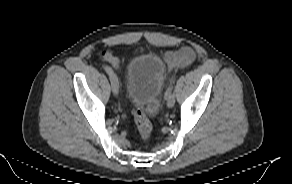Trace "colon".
<instances>
[{"label": "colon", "instance_id": "5ec220e1", "mask_svg": "<svg viewBox=\"0 0 292 184\" xmlns=\"http://www.w3.org/2000/svg\"><path fill=\"white\" fill-rule=\"evenodd\" d=\"M101 59L110 62L114 56L112 53L108 50H104L100 54ZM133 115H134V120L136 123L137 130L139 132L140 137L143 140H147L153 130L152 123L146 116L145 112L143 111L142 108L140 107H135L133 110Z\"/></svg>", "mask_w": 292, "mask_h": 184}]
</instances>
